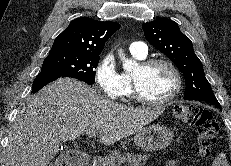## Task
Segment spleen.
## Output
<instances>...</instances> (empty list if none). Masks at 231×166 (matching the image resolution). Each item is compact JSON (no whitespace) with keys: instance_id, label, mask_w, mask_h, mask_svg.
Here are the masks:
<instances>
[{"instance_id":"spleen-1","label":"spleen","mask_w":231,"mask_h":166,"mask_svg":"<svg viewBox=\"0 0 231 166\" xmlns=\"http://www.w3.org/2000/svg\"><path fill=\"white\" fill-rule=\"evenodd\" d=\"M228 166L226 157L224 153H221L218 155V157L215 159V161L213 162V166Z\"/></svg>"}]
</instances>
